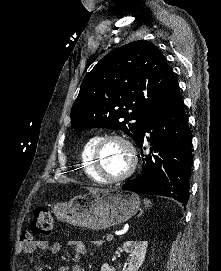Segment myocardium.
I'll return each instance as SVG.
<instances>
[{"mask_svg": "<svg viewBox=\"0 0 221 271\" xmlns=\"http://www.w3.org/2000/svg\"><path fill=\"white\" fill-rule=\"evenodd\" d=\"M107 137L95 138L97 140L92 150V166L94 167L95 173L97 175H101L103 178V183L101 184H114V183H124V178H128L134 170H137L139 166L138 163V153H137V145H131V140L126 134L122 132H106ZM110 142H114L118 145V150H125L123 154V161L128 165V170L121 175L105 177V172H103V166L101 165V159H99V155H101V150L105 149V145H110Z\"/></svg>", "mask_w": 221, "mask_h": 271, "instance_id": "obj_1", "label": "myocardium"}]
</instances>
